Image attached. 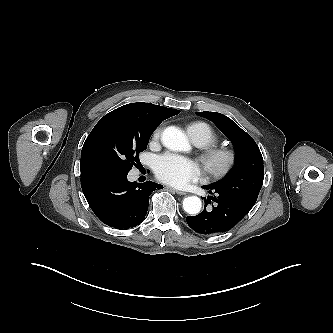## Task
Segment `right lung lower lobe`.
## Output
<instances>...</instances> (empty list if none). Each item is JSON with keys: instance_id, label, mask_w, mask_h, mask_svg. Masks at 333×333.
Returning <instances> with one entry per match:
<instances>
[{"instance_id": "obj_1", "label": "right lung lower lobe", "mask_w": 333, "mask_h": 333, "mask_svg": "<svg viewBox=\"0 0 333 333\" xmlns=\"http://www.w3.org/2000/svg\"><path fill=\"white\" fill-rule=\"evenodd\" d=\"M127 174L98 173L81 177L83 193L94 214L116 229L140 224L148 210L150 193L163 188L151 181L129 182Z\"/></svg>"}]
</instances>
